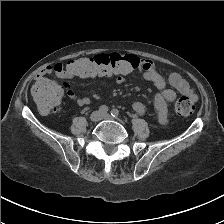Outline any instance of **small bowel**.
I'll return each instance as SVG.
<instances>
[{"label": "small bowel", "instance_id": "c3829d8e", "mask_svg": "<svg viewBox=\"0 0 224 224\" xmlns=\"http://www.w3.org/2000/svg\"><path fill=\"white\" fill-rule=\"evenodd\" d=\"M139 70L143 78L150 81L159 92L154 96V106L157 112V118L160 124L165 125L169 119L168 104L173 102L176 97V91L188 96L193 101L197 100V95L190 86V84L177 72H170L168 75V82L172 88H166V81L157 71V68L153 61L149 59H139ZM49 74H55L57 77L62 79H71L75 77V74L68 68V66L57 62L43 68L37 75L36 81H48L54 85L58 86V83L49 79ZM126 80V74H116L114 75V81L117 85H121ZM67 95L73 99L78 105L84 106L91 103L89 97H80L76 95L72 87L68 84L64 86ZM133 110L139 114L143 115L146 112L145 105L140 101H135L132 105Z\"/></svg>", "mask_w": 224, "mask_h": 224}]
</instances>
